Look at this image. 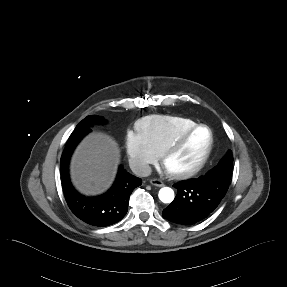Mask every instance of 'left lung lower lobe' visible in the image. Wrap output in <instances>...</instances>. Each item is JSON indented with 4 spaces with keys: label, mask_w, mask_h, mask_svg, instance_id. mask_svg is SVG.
Listing matches in <instances>:
<instances>
[{
    "label": "left lung lower lobe",
    "mask_w": 287,
    "mask_h": 287,
    "mask_svg": "<svg viewBox=\"0 0 287 287\" xmlns=\"http://www.w3.org/2000/svg\"><path fill=\"white\" fill-rule=\"evenodd\" d=\"M229 178L213 168L205 176L174 184L177 195L163 210V217L182 225L195 224L209 216L225 196Z\"/></svg>",
    "instance_id": "obj_1"
}]
</instances>
